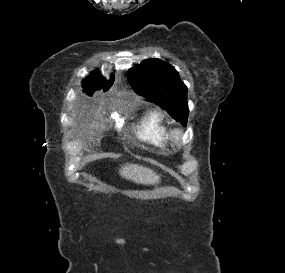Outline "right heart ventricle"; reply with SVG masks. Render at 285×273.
Here are the masks:
<instances>
[{
  "instance_id": "obj_1",
  "label": "right heart ventricle",
  "mask_w": 285,
  "mask_h": 273,
  "mask_svg": "<svg viewBox=\"0 0 285 273\" xmlns=\"http://www.w3.org/2000/svg\"><path fill=\"white\" fill-rule=\"evenodd\" d=\"M173 130L160 111L150 110L140 118L134 133L140 141L162 149L171 144Z\"/></svg>"
}]
</instances>
